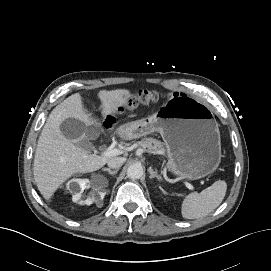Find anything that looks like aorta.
Wrapping results in <instances>:
<instances>
[{
  "label": "aorta",
  "mask_w": 271,
  "mask_h": 271,
  "mask_svg": "<svg viewBox=\"0 0 271 271\" xmlns=\"http://www.w3.org/2000/svg\"><path fill=\"white\" fill-rule=\"evenodd\" d=\"M143 174H144L143 167L139 164H133L127 168V176L130 179L133 180L140 179L143 176Z\"/></svg>",
  "instance_id": "1"
}]
</instances>
